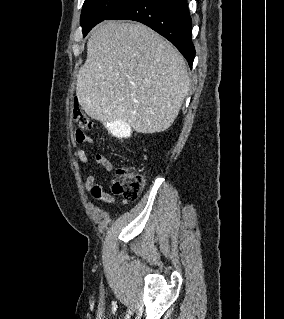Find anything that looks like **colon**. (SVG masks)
<instances>
[{
	"mask_svg": "<svg viewBox=\"0 0 284 319\" xmlns=\"http://www.w3.org/2000/svg\"><path fill=\"white\" fill-rule=\"evenodd\" d=\"M73 120L81 130H90L93 127L88 116L78 108L73 111ZM111 187L114 194L127 200H135L144 187V177L134 168L121 167L116 170Z\"/></svg>",
	"mask_w": 284,
	"mask_h": 319,
	"instance_id": "colon-1",
	"label": "colon"
}]
</instances>
